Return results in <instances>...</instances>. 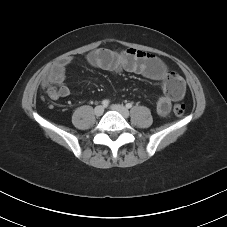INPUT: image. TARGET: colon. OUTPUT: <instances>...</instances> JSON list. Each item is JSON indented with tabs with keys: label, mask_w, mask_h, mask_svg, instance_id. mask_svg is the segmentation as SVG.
Returning a JSON list of instances; mask_svg holds the SVG:
<instances>
[{
	"label": "colon",
	"mask_w": 227,
	"mask_h": 227,
	"mask_svg": "<svg viewBox=\"0 0 227 227\" xmlns=\"http://www.w3.org/2000/svg\"><path fill=\"white\" fill-rule=\"evenodd\" d=\"M171 75L173 77L178 76L175 73H172ZM43 86L47 89V93L49 96H51L54 93V87H52L49 82L43 81ZM185 110H186V108H185L184 104L178 103L173 106V112L176 116H183L185 113Z\"/></svg>",
	"instance_id": "5ec220e1"
}]
</instances>
